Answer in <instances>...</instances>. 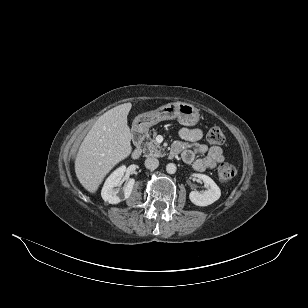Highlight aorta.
Instances as JSON below:
<instances>
[{
  "label": "aorta",
  "instance_id": "1",
  "mask_svg": "<svg viewBox=\"0 0 308 308\" xmlns=\"http://www.w3.org/2000/svg\"><path fill=\"white\" fill-rule=\"evenodd\" d=\"M176 165L174 163H169L166 165V171L169 174H174L176 172Z\"/></svg>",
  "mask_w": 308,
  "mask_h": 308
}]
</instances>
